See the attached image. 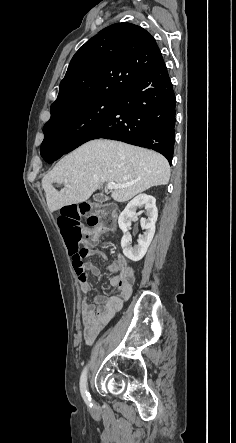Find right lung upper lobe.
<instances>
[{
	"mask_svg": "<svg viewBox=\"0 0 236 443\" xmlns=\"http://www.w3.org/2000/svg\"><path fill=\"white\" fill-rule=\"evenodd\" d=\"M162 57L150 33L131 23L101 30L73 56L51 116L97 95H121Z\"/></svg>",
	"mask_w": 236,
	"mask_h": 443,
	"instance_id": "obj_1",
	"label": "right lung upper lobe"
}]
</instances>
